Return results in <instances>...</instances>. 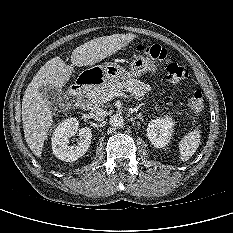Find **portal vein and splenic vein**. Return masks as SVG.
<instances>
[{
	"mask_svg": "<svg viewBox=\"0 0 233 233\" xmlns=\"http://www.w3.org/2000/svg\"><path fill=\"white\" fill-rule=\"evenodd\" d=\"M122 95H123V93L109 91V92L105 93L104 99H105V101H110L114 96L118 97V96H122Z\"/></svg>",
	"mask_w": 233,
	"mask_h": 233,
	"instance_id": "18ae733b",
	"label": "portal vein and splenic vein"
}]
</instances>
